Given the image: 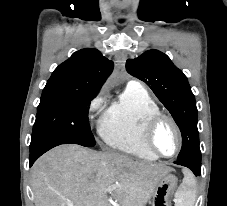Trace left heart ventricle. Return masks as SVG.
Returning <instances> with one entry per match:
<instances>
[{"label":"left heart ventricle","mask_w":227,"mask_h":206,"mask_svg":"<svg viewBox=\"0 0 227 206\" xmlns=\"http://www.w3.org/2000/svg\"><path fill=\"white\" fill-rule=\"evenodd\" d=\"M154 145L164 155H171L177 147V137L173 127L166 121L160 123L153 136Z\"/></svg>","instance_id":"left-heart-ventricle-1"}]
</instances>
